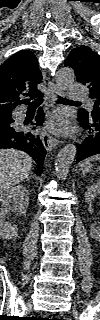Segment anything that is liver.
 <instances>
[{
	"mask_svg": "<svg viewBox=\"0 0 100 320\" xmlns=\"http://www.w3.org/2000/svg\"><path fill=\"white\" fill-rule=\"evenodd\" d=\"M33 159L25 152L15 149L0 150V192L27 179Z\"/></svg>",
	"mask_w": 100,
	"mask_h": 320,
	"instance_id": "obj_1",
	"label": "liver"
}]
</instances>
